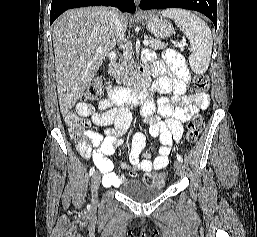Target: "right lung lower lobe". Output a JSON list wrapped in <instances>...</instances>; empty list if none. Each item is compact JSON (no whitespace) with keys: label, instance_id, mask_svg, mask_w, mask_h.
I'll use <instances>...</instances> for the list:
<instances>
[{"label":"right lung lower lobe","instance_id":"obj_1","mask_svg":"<svg viewBox=\"0 0 257 237\" xmlns=\"http://www.w3.org/2000/svg\"><path fill=\"white\" fill-rule=\"evenodd\" d=\"M116 6L122 12H135L134 0H52L50 25L64 11L85 6Z\"/></svg>","mask_w":257,"mask_h":237}]
</instances>
